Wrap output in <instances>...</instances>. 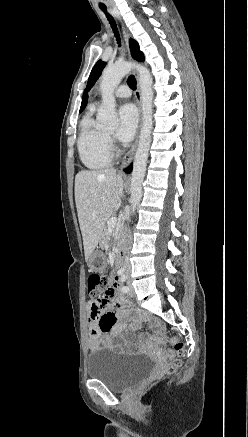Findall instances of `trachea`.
Segmentation results:
<instances>
[{
	"label": "trachea",
	"instance_id": "1",
	"mask_svg": "<svg viewBox=\"0 0 248 437\" xmlns=\"http://www.w3.org/2000/svg\"><path fill=\"white\" fill-rule=\"evenodd\" d=\"M101 10L105 13V15H106V17H107V19H108V21H109V23H110V25H111V28H112V30H113V32H114V35H115L116 40H117V43H118L119 46H120L121 41H120V36H119V33H118V29H117V26H116L115 20H114L113 17H112V16L107 12V9H106L105 7H101ZM128 85L130 86L131 89H133V90L136 89V79H135V77H134L133 75H130V76H129V78H128Z\"/></svg>",
	"mask_w": 248,
	"mask_h": 437
}]
</instances>
